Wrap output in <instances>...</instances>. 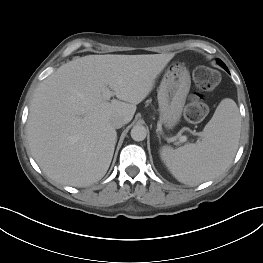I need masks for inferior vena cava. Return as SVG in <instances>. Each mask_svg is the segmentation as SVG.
I'll return each mask as SVG.
<instances>
[{
	"instance_id": "1",
	"label": "inferior vena cava",
	"mask_w": 263,
	"mask_h": 263,
	"mask_svg": "<svg viewBox=\"0 0 263 263\" xmlns=\"http://www.w3.org/2000/svg\"><path fill=\"white\" fill-rule=\"evenodd\" d=\"M111 124L114 128L119 129L125 124V122L122 117L117 116V117L112 118Z\"/></svg>"
}]
</instances>
